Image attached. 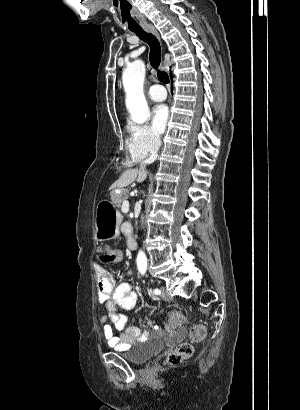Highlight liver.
<instances>
[{
  "mask_svg": "<svg viewBox=\"0 0 300 410\" xmlns=\"http://www.w3.org/2000/svg\"><path fill=\"white\" fill-rule=\"evenodd\" d=\"M147 177V172L145 169H127L125 170L120 178L111 186V188H123L131 183H133L135 180H137L138 183L143 182Z\"/></svg>",
  "mask_w": 300,
  "mask_h": 410,
  "instance_id": "liver-1",
  "label": "liver"
}]
</instances>
